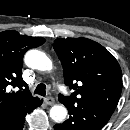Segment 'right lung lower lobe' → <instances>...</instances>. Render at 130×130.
<instances>
[{
	"mask_svg": "<svg viewBox=\"0 0 130 130\" xmlns=\"http://www.w3.org/2000/svg\"><path fill=\"white\" fill-rule=\"evenodd\" d=\"M42 104V100H38L35 104L24 110L3 116L0 118V130H22L25 122V116L27 113L32 112L35 108Z\"/></svg>",
	"mask_w": 130,
	"mask_h": 130,
	"instance_id": "1",
	"label": "right lung lower lobe"
}]
</instances>
